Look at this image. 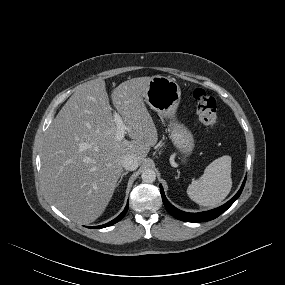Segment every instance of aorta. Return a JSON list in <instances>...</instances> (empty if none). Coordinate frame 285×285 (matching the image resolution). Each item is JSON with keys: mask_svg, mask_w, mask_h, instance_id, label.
Listing matches in <instances>:
<instances>
[{"mask_svg": "<svg viewBox=\"0 0 285 285\" xmlns=\"http://www.w3.org/2000/svg\"><path fill=\"white\" fill-rule=\"evenodd\" d=\"M141 178L145 183H152L156 179V173L152 169H144L142 171Z\"/></svg>", "mask_w": 285, "mask_h": 285, "instance_id": "1", "label": "aorta"}]
</instances>
